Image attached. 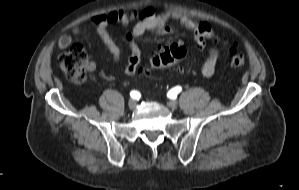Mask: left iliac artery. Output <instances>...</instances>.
<instances>
[{
  "label": "left iliac artery",
  "mask_w": 299,
  "mask_h": 190,
  "mask_svg": "<svg viewBox=\"0 0 299 190\" xmlns=\"http://www.w3.org/2000/svg\"><path fill=\"white\" fill-rule=\"evenodd\" d=\"M182 88L180 86H176L168 92V97L175 98L176 95L181 92Z\"/></svg>",
  "instance_id": "1"
}]
</instances>
